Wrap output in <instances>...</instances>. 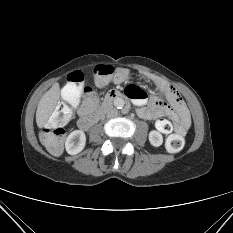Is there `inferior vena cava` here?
<instances>
[{"label":"inferior vena cava","mask_w":233,"mask_h":233,"mask_svg":"<svg viewBox=\"0 0 233 233\" xmlns=\"http://www.w3.org/2000/svg\"><path fill=\"white\" fill-rule=\"evenodd\" d=\"M106 114H107L108 118H113V117H116L118 115V111L113 106H108L106 109Z\"/></svg>","instance_id":"602c4592"}]
</instances>
